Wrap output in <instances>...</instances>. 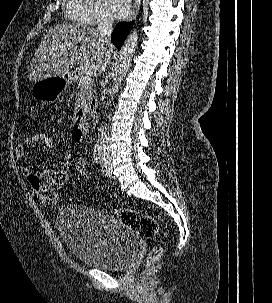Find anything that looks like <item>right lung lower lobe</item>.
I'll use <instances>...</instances> for the list:
<instances>
[{
  "instance_id": "98d812e1",
  "label": "right lung lower lobe",
  "mask_w": 272,
  "mask_h": 303,
  "mask_svg": "<svg viewBox=\"0 0 272 303\" xmlns=\"http://www.w3.org/2000/svg\"><path fill=\"white\" fill-rule=\"evenodd\" d=\"M133 23L122 22L116 25L112 33V42L120 50L123 45L124 40L126 39L129 31L132 28Z\"/></svg>"
}]
</instances>
